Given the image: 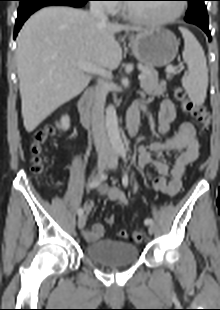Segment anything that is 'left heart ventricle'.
Returning <instances> with one entry per match:
<instances>
[{
	"label": "left heart ventricle",
	"mask_w": 220,
	"mask_h": 310,
	"mask_svg": "<svg viewBox=\"0 0 220 310\" xmlns=\"http://www.w3.org/2000/svg\"><path fill=\"white\" fill-rule=\"evenodd\" d=\"M129 10L148 19H163L169 17L177 10V3L166 4H129Z\"/></svg>",
	"instance_id": "1"
}]
</instances>
